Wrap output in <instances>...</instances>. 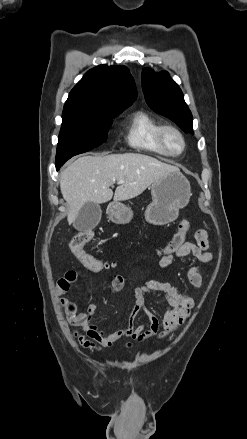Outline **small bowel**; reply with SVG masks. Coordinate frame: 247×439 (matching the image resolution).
<instances>
[{"instance_id": "c3829d8e", "label": "small bowel", "mask_w": 247, "mask_h": 439, "mask_svg": "<svg viewBox=\"0 0 247 439\" xmlns=\"http://www.w3.org/2000/svg\"><path fill=\"white\" fill-rule=\"evenodd\" d=\"M195 239L196 243L184 242L176 252L164 255L159 261L160 268H167L176 259L190 255L201 262H210L212 254L208 251L207 232L203 229L198 230L195 234ZM78 277L79 274L76 271L66 272L58 280L56 292L60 296V304L66 313L68 323L74 327H80L86 333L88 339L79 332L74 333L75 337L81 346L90 350L99 351L102 347H111L117 340L123 337H130L138 343L154 336L165 338L185 323L195 307L193 298L180 294L171 284L147 278L143 285L133 288L135 301L128 317L127 326L107 334L99 329L93 321L97 313L96 305L90 304L84 311H79L77 304L65 296ZM187 277L194 287L201 288L202 276L197 266L189 268ZM125 286V279L120 275H116L112 278L109 289L111 292L117 293L123 290ZM152 293L164 297L165 314L162 323L146 306L145 295ZM139 314H143L146 317L149 323L147 329H145V322L135 325V319ZM161 324L162 330H160ZM126 346L130 347L131 343H126Z\"/></svg>"}]
</instances>
